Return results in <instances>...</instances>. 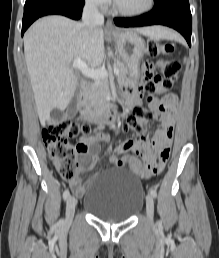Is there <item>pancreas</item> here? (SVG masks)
<instances>
[{"mask_svg": "<svg viewBox=\"0 0 219 258\" xmlns=\"http://www.w3.org/2000/svg\"><path fill=\"white\" fill-rule=\"evenodd\" d=\"M113 66L119 69L118 81L128 83L127 66L120 61H114ZM108 95H110L109 81L107 79L95 80L84 93V104L90 109H98L105 104Z\"/></svg>", "mask_w": 219, "mask_h": 258, "instance_id": "obj_1", "label": "pancreas"}]
</instances>
